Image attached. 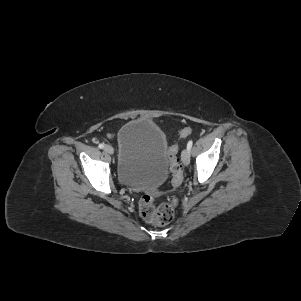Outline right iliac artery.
<instances>
[{
  "mask_svg": "<svg viewBox=\"0 0 301 301\" xmlns=\"http://www.w3.org/2000/svg\"><path fill=\"white\" fill-rule=\"evenodd\" d=\"M100 149H103L104 148V144L103 143H101V144H99V146H98Z\"/></svg>",
  "mask_w": 301,
  "mask_h": 301,
  "instance_id": "1",
  "label": "right iliac artery"
}]
</instances>
